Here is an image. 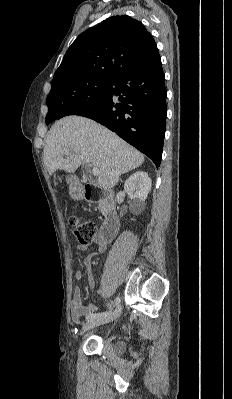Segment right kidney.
Returning <instances> with one entry per match:
<instances>
[{
    "label": "right kidney",
    "instance_id": "ca27d5eb",
    "mask_svg": "<svg viewBox=\"0 0 232 399\" xmlns=\"http://www.w3.org/2000/svg\"><path fill=\"white\" fill-rule=\"evenodd\" d=\"M152 180H150L147 172H135L124 184V192L128 194L132 205L137 209H144L145 200L151 190Z\"/></svg>",
    "mask_w": 232,
    "mask_h": 399
}]
</instances>
